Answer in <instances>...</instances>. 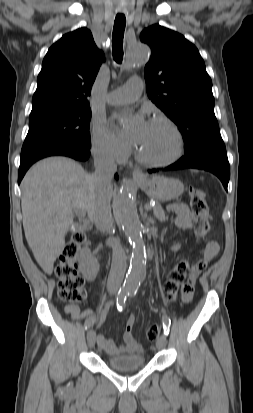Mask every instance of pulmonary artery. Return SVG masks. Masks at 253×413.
<instances>
[{
    "label": "pulmonary artery",
    "instance_id": "pulmonary-artery-1",
    "mask_svg": "<svg viewBox=\"0 0 253 413\" xmlns=\"http://www.w3.org/2000/svg\"><path fill=\"white\" fill-rule=\"evenodd\" d=\"M142 90V82L139 79H132L126 85L110 92L106 98L109 104H128L136 101Z\"/></svg>",
    "mask_w": 253,
    "mask_h": 413
}]
</instances>
